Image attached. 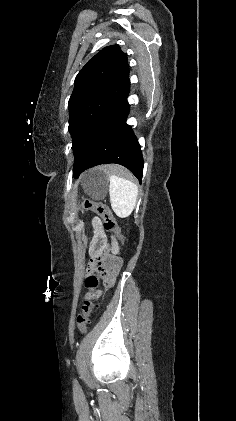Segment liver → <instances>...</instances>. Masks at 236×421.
Instances as JSON below:
<instances>
[{"label":"liver","mask_w":236,"mask_h":421,"mask_svg":"<svg viewBox=\"0 0 236 421\" xmlns=\"http://www.w3.org/2000/svg\"><path fill=\"white\" fill-rule=\"evenodd\" d=\"M101 168H103V170H108V168H111V166H109V164H105V166H101Z\"/></svg>","instance_id":"1"}]
</instances>
